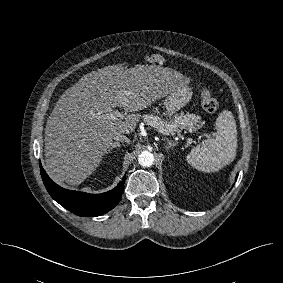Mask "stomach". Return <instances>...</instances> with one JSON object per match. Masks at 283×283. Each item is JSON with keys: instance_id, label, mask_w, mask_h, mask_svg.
I'll return each mask as SVG.
<instances>
[{"instance_id": "1", "label": "stomach", "mask_w": 283, "mask_h": 283, "mask_svg": "<svg viewBox=\"0 0 283 283\" xmlns=\"http://www.w3.org/2000/svg\"><path fill=\"white\" fill-rule=\"evenodd\" d=\"M192 89L187 85V81L182 80L178 85L168 94L165 99L166 113L172 116L186 104L192 98Z\"/></svg>"}]
</instances>
